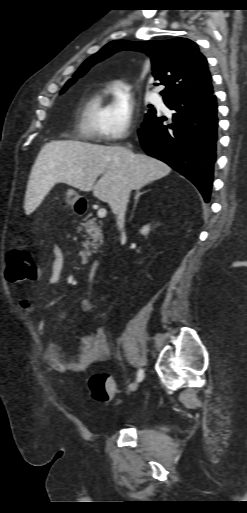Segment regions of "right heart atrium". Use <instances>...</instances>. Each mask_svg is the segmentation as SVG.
Returning a JSON list of instances; mask_svg holds the SVG:
<instances>
[{"label": "right heart atrium", "mask_w": 247, "mask_h": 513, "mask_svg": "<svg viewBox=\"0 0 247 513\" xmlns=\"http://www.w3.org/2000/svg\"><path fill=\"white\" fill-rule=\"evenodd\" d=\"M135 108L136 103L130 88L115 81L111 85V101L106 106L100 137L108 142L124 139L131 130Z\"/></svg>", "instance_id": "obj_1"}]
</instances>
